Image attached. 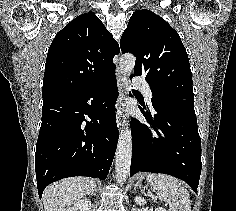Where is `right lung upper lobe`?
Returning a JSON list of instances; mask_svg holds the SVG:
<instances>
[{
    "mask_svg": "<svg viewBox=\"0 0 236 211\" xmlns=\"http://www.w3.org/2000/svg\"><path fill=\"white\" fill-rule=\"evenodd\" d=\"M119 45L94 13H84L59 31L49 47L43 100L82 93L115 73Z\"/></svg>",
    "mask_w": 236,
    "mask_h": 211,
    "instance_id": "right-lung-upper-lobe-1",
    "label": "right lung upper lobe"
}]
</instances>
